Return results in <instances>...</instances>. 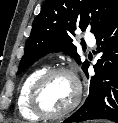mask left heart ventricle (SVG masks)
<instances>
[{
  "label": "left heart ventricle",
  "mask_w": 118,
  "mask_h": 123,
  "mask_svg": "<svg viewBox=\"0 0 118 123\" xmlns=\"http://www.w3.org/2000/svg\"><path fill=\"white\" fill-rule=\"evenodd\" d=\"M76 87L67 74L52 76L43 86L40 101L49 112H60L74 100Z\"/></svg>",
  "instance_id": "1"
}]
</instances>
